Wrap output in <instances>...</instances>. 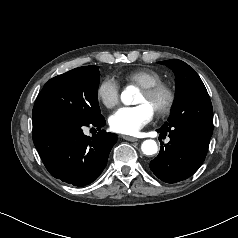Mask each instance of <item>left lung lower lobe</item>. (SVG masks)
Segmentation results:
<instances>
[{"instance_id": "obj_1", "label": "left lung lower lobe", "mask_w": 238, "mask_h": 238, "mask_svg": "<svg viewBox=\"0 0 238 238\" xmlns=\"http://www.w3.org/2000/svg\"><path fill=\"white\" fill-rule=\"evenodd\" d=\"M160 135H169L168 144H161L150 169L162 181L176 183L192 176L202 165L213 131L183 125L160 128Z\"/></svg>"}]
</instances>
